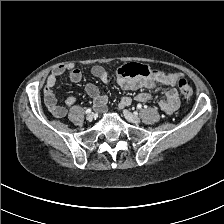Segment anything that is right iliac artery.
Instances as JSON below:
<instances>
[{"label":"right iliac artery","mask_w":224,"mask_h":224,"mask_svg":"<svg viewBox=\"0 0 224 224\" xmlns=\"http://www.w3.org/2000/svg\"><path fill=\"white\" fill-rule=\"evenodd\" d=\"M91 112H92V109H91V108H88V109H86V111H85L86 114H89V113H91Z\"/></svg>","instance_id":"82829eb1"}]
</instances>
